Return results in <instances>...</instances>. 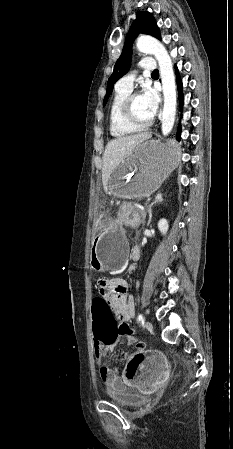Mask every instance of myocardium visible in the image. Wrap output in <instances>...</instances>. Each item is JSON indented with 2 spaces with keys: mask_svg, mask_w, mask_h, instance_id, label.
Returning <instances> with one entry per match:
<instances>
[{
  "mask_svg": "<svg viewBox=\"0 0 233 449\" xmlns=\"http://www.w3.org/2000/svg\"><path fill=\"white\" fill-rule=\"evenodd\" d=\"M140 95L139 92L134 91L130 92L122 101L121 107H120V113L124 121H126L128 124H131L133 126H136L138 128H144L149 125H151L154 121V116L152 115L146 120H141L134 114L133 111V101L134 99Z\"/></svg>",
  "mask_w": 233,
  "mask_h": 449,
  "instance_id": "1",
  "label": "myocardium"
}]
</instances>
